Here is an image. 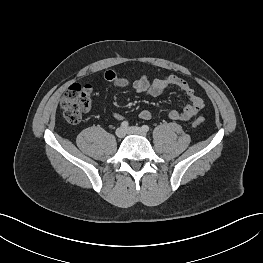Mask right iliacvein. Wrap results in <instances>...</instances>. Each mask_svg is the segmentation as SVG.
Instances as JSON below:
<instances>
[{
	"label": "right iliac vein",
	"mask_w": 263,
	"mask_h": 263,
	"mask_svg": "<svg viewBox=\"0 0 263 263\" xmlns=\"http://www.w3.org/2000/svg\"><path fill=\"white\" fill-rule=\"evenodd\" d=\"M115 134H116V136H117L118 138H124L125 135H126V131H125V129H123L122 127H119V128L116 129Z\"/></svg>",
	"instance_id": "obj_1"
}]
</instances>
